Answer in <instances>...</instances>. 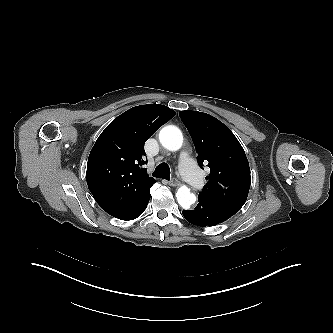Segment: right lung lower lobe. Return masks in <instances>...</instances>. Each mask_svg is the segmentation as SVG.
Listing matches in <instances>:
<instances>
[{"mask_svg":"<svg viewBox=\"0 0 333 333\" xmlns=\"http://www.w3.org/2000/svg\"><path fill=\"white\" fill-rule=\"evenodd\" d=\"M150 196L151 195H150V191H149L146 194H144L143 196H141L140 198H138L136 200V202L129 208V210L127 211V213L125 215L118 216L116 218L121 219V220H133V219L139 217L146 209Z\"/></svg>","mask_w":333,"mask_h":333,"instance_id":"98d812e1","label":"right lung lower lobe"}]
</instances>
